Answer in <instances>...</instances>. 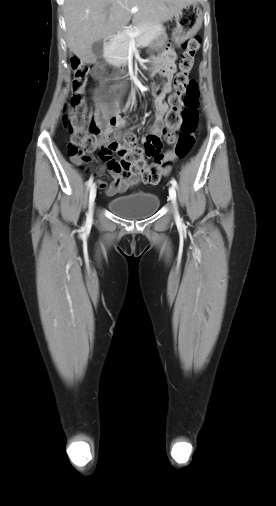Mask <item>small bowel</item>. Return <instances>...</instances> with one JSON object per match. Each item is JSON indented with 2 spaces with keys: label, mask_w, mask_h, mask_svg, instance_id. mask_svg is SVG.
Listing matches in <instances>:
<instances>
[{
  "label": "small bowel",
  "mask_w": 276,
  "mask_h": 506,
  "mask_svg": "<svg viewBox=\"0 0 276 506\" xmlns=\"http://www.w3.org/2000/svg\"><path fill=\"white\" fill-rule=\"evenodd\" d=\"M176 53L171 48H166L162 53H160L157 57L152 58L148 62L149 72L151 75H160L164 78L160 87H154L155 89V119L151 126L148 128V132L143 138V142L148 135H155L159 138L165 132V122L164 117L169 109V106L164 102V96L172 92V76L176 70L175 65ZM93 76L98 78V74L96 72L93 73ZM73 90L81 91L83 88L78 87L75 82H73L72 86ZM103 94L101 90L95 89L93 91V98L95 100L103 99ZM101 113L103 115H107V112L104 108L101 109ZM116 125L119 127H123L125 122L123 120H119L116 122ZM154 155H151L152 157ZM105 170L109 177L112 178V182L108 185L107 180L105 178L98 179V185L101 189H105L107 195L113 196L117 193L125 192L134 186H136L139 182V178L136 174L125 171L122 168L120 159L116 158H108L105 160Z\"/></svg>",
  "instance_id": "obj_1"
}]
</instances>
